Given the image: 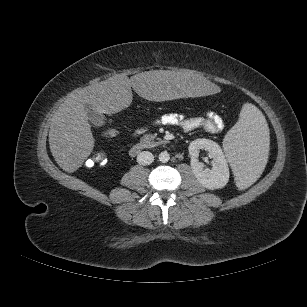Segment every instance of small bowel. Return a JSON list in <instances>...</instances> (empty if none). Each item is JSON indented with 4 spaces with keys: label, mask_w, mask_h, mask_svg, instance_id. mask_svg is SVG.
I'll use <instances>...</instances> for the list:
<instances>
[{
    "label": "small bowel",
    "mask_w": 307,
    "mask_h": 307,
    "mask_svg": "<svg viewBox=\"0 0 307 307\" xmlns=\"http://www.w3.org/2000/svg\"><path fill=\"white\" fill-rule=\"evenodd\" d=\"M156 125L175 126L184 131L202 128L210 133H219L224 129L225 123L222 117L215 112H208L205 117L191 118L178 113H166L153 119L147 125L137 128L133 134L139 136Z\"/></svg>",
    "instance_id": "small-bowel-1"
}]
</instances>
